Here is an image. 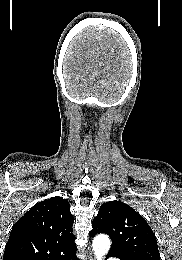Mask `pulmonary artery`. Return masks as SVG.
Masks as SVG:
<instances>
[{"label": "pulmonary artery", "instance_id": "pulmonary-artery-1", "mask_svg": "<svg viewBox=\"0 0 182 260\" xmlns=\"http://www.w3.org/2000/svg\"><path fill=\"white\" fill-rule=\"evenodd\" d=\"M109 260H118V259H115V258H110Z\"/></svg>", "mask_w": 182, "mask_h": 260}]
</instances>
